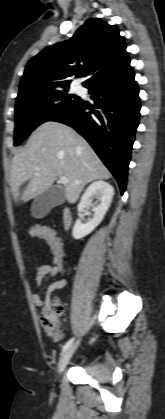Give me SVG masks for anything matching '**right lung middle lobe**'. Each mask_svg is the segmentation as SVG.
Returning a JSON list of instances; mask_svg holds the SVG:
<instances>
[{"label":"right lung middle lobe","mask_w":165,"mask_h":419,"mask_svg":"<svg viewBox=\"0 0 165 419\" xmlns=\"http://www.w3.org/2000/svg\"><path fill=\"white\" fill-rule=\"evenodd\" d=\"M68 88L36 93L16 102L14 145H19L40 124L74 106L80 98L69 95Z\"/></svg>","instance_id":"obj_1"}]
</instances>
